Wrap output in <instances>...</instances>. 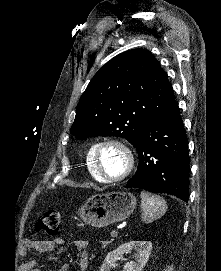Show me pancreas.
Listing matches in <instances>:
<instances>
[{"label": "pancreas", "instance_id": "pancreas-1", "mask_svg": "<svg viewBox=\"0 0 221 271\" xmlns=\"http://www.w3.org/2000/svg\"><path fill=\"white\" fill-rule=\"evenodd\" d=\"M114 239H98L99 247H112Z\"/></svg>", "mask_w": 221, "mask_h": 271}]
</instances>
